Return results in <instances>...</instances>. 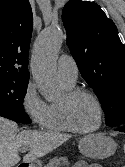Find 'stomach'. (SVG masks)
Returning a JSON list of instances; mask_svg holds the SVG:
<instances>
[{
    "instance_id": "obj_1",
    "label": "stomach",
    "mask_w": 125,
    "mask_h": 167,
    "mask_svg": "<svg viewBox=\"0 0 125 167\" xmlns=\"http://www.w3.org/2000/svg\"><path fill=\"white\" fill-rule=\"evenodd\" d=\"M115 141L104 134H92L85 136L79 142V151L82 155L93 159H105L116 151ZM28 167H42L40 160H34Z\"/></svg>"
}]
</instances>
